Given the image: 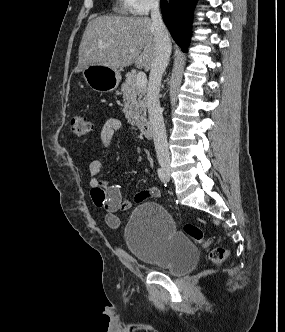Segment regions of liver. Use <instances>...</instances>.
I'll list each match as a JSON object with an SVG mask.
<instances>
[{
    "instance_id": "6515ba94",
    "label": "liver",
    "mask_w": 285,
    "mask_h": 332,
    "mask_svg": "<svg viewBox=\"0 0 285 332\" xmlns=\"http://www.w3.org/2000/svg\"><path fill=\"white\" fill-rule=\"evenodd\" d=\"M155 37L148 17L100 16L89 21L79 46L77 73L90 65L112 69L135 63L151 69Z\"/></svg>"
}]
</instances>
